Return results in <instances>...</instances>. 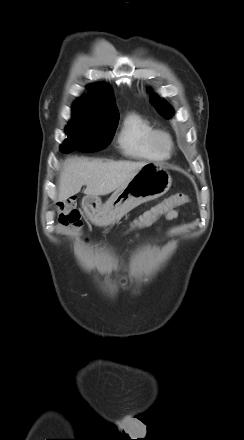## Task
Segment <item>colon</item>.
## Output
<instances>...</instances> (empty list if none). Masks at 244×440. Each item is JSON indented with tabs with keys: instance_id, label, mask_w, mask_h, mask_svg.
Segmentation results:
<instances>
[{
	"instance_id": "obj_1",
	"label": "colon",
	"mask_w": 244,
	"mask_h": 440,
	"mask_svg": "<svg viewBox=\"0 0 244 440\" xmlns=\"http://www.w3.org/2000/svg\"><path fill=\"white\" fill-rule=\"evenodd\" d=\"M188 202L189 197L186 194L176 193L134 219L127 227L126 232L148 227L173 208ZM58 219L60 223L65 226L75 228L81 226L80 213L74 198L65 200L58 204Z\"/></svg>"
}]
</instances>
